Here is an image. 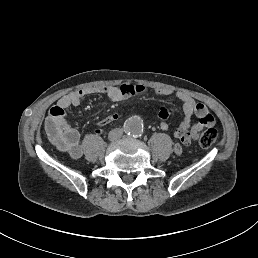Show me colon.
Returning <instances> with one entry per match:
<instances>
[{"instance_id":"1","label":"colon","mask_w":258,"mask_h":258,"mask_svg":"<svg viewBox=\"0 0 258 258\" xmlns=\"http://www.w3.org/2000/svg\"><path fill=\"white\" fill-rule=\"evenodd\" d=\"M217 137V131L214 128H209L201 134L199 144L203 148H209L216 142Z\"/></svg>"}]
</instances>
